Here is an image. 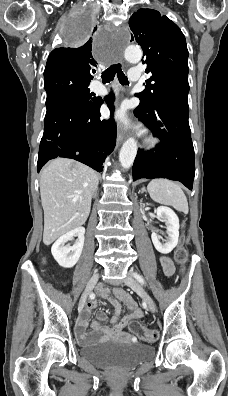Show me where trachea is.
Listing matches in <instances>:
<instances>
[{
  "mask_svg": "<svg viewBox=\"0 0 228 396\" xmlns=\"http://www.w3.org/2000/svg\"><path fill=\"white\" fill-rule=\"evenodd\" d=\"M117 75L119 82L122 85H128V79L121 69V64H114L107 68L101 75L103 83H109Z\"/></svg>",
  "mask_w": 228,
  "mask_h": 396,
  "instance_id": "3493384b",
  "label": "trachea"
}]
</instances>
